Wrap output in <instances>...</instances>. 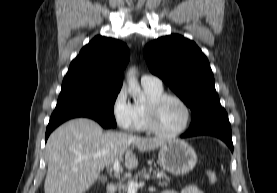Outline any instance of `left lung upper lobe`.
I'll return each mask as SVG.
<instances>
[{"mask_svg": "<svg viewBox=\"0 0 277 193\" xmlns=\"http://www.w3.org/2000/svg\"><path fill=\"white\" fill-rule=\"evenodd\" d=\"M144 57L150 71L190 107V128L226 113L215 90L209 61L193 41L177 34L161 37L145 47Z\"/></svg>", "mask_w": 277, "mask_h": 193, "instance_id": "1", "label": "left lung upper lobe"}]
</instances>
